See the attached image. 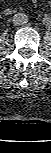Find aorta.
<instances>
[{
	"label": "aorta",
	"instance_id": "1",
	"mask_svg": "<svg viewBox=\"0 0 51 153\" xmlns=\"http://www.w3.org/2000/svg\"><path fill=\"white\" fill-rule=\"evenodd\" d=\"M43 28L46 30L51 29V17H44L43 18Z\"/></svg>",
	"mask_w": 51,
	"mask_h": 153
}]
</instances>
